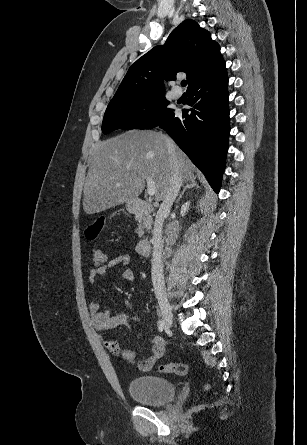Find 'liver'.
<instances>
[{
	"mask_svg": "<svg viewBox=\"0 0 307 445\" xmlns=\"http://www.w3.org/2000/svg\"><path fill=\"white\" fill-rule=\"evenodd\" d=\"M166 134L155 130H127L99 140L83 186V210L95 214L136 198L145 188L146 178L156 184L155 200H164L173 174V158ZM175 156L182 180H192L194 164L176 146Z\"/></svg>",
	"mask_w": 307,
	"mask_h": 445,
	"instance_id": "1",
	"label": "liver"
}]
</instances>
